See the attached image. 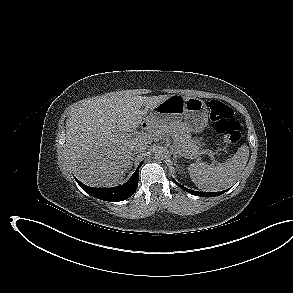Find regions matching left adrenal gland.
<instances>
[{"label": "left adrenal gland", "instance_id": "a2214340", "mask_svg": "<svg viewBox=\"0 0 293 293\" xmlns=\"http://www.w3.org/2000/svg\"><path fill=\"white\" fill-rule=\"evenodd\" d=\"M172 154H173V158L176 160L177 157H179V155L177 154L175 149H172Z\"/></svg>", "mask_w": 293, "mask_h": 293}]
</instances>
